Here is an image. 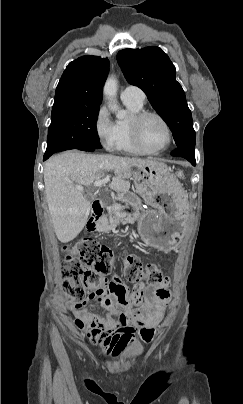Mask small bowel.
<instances>
[{
    "label": "small bowel",
    "mask_w": 243,
    "mask_h": 404,
    "mask_svg": "<svg viewBox=\"0 0 243 404\" xmlns=\"http://www.w3.org/2000/svg\"><path fill=\"white\" fill-rule=\"evenodd\" d=\"M169 280L147 286H138L134 291L143 293L144 303L138 308L119 311L117 306L125 304L127 288L118 280L110 282L100 279L88 297L72 305L75 315L72 325L84 330L90 341L100 345L105 352L119 356L138 335L143 341L151 342L155 337V328L162 320L166 305L170 299ZM92 302L101 304L110 316L102 317L88 311Z\"/></svg>",
    "instance_id": "obj_1"
}]
</instances>
